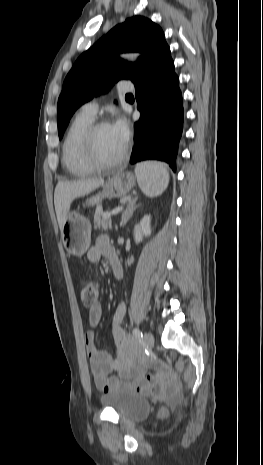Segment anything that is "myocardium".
Returning a JSON list of instances; mask_svg holds the SVG:
<instances>
[{"instance_id": "f54148a6", "label": "myocardium", "mask_w": 263, "mask_h": 465, "mask_svg": "<svg viewBox=\"0 0 263 465\" xmlns=\"http://www.w3.org/2000/svg\"><path fill=\"white\" fill-rule=\"evenodd\" d=\"M110 124L106 121L93 122L84 132L81 139V149L85 161L95 170H108L119 166L126 158L128 145L126 144L122 153L112 161H103L96 151L95 138L98 131Z\"/></svg>"}]
</instances>
